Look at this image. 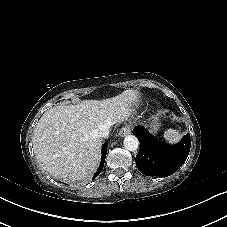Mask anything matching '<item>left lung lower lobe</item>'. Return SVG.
<instances>
[{
    "label": "left lung lower lobe",
    "instance_id": "obj_1",
    "mask_svg": "<svg viewBox=\"0 0 227 227\" xmlns=\"http://www.w3.org/2000/svg\"><path fill=\"white\" fill-rule=\"evenodd\" d=\"M133 134L140 142L136 166L146 176H170L188 157L191 146L189 133L179 143L171 146L155 140L147 129L140 125L133 129Z\"/></svg>",
    "mask_w": 227,
    "mask_h": 227
}]
</instances>
